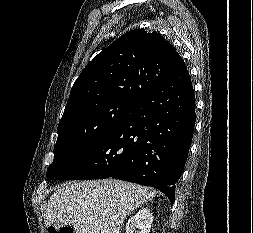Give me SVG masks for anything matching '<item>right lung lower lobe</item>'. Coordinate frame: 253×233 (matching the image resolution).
<instances>
[{
	"instance_id": "98d812e1",
	"label": "right lung lower lobe",
	"mask_w": 253,
	"mask_h": 233,
	"mask_svg": "<svg viewBox=\"0 0 253 233\" xmlns=\"http://www.w3.org/2000/svg\"><path fill=\"white\" fill-rule=\"evenodd\" d=\"M195 124V96L186 67L138 97L117 128L57 180L116 178L152 186L171 204Z\"/></svg>"
}]
</instances>
